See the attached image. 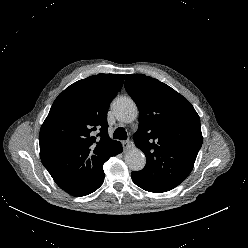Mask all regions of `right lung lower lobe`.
I'll return each instance as SVG.
<instances>
[{
  "mask_svg": "<svg viewBox=\"0 0 248 248\" xmlns=\"http://www.w3.org/2000/svg\"><path fill=\"white\" fill-rule=\"evenodd\" d=\"M122 152V146H121V143L117 146L116 150L113 152V156L119 154ZM104 177L105 175H102L101 178L99 179V181L86 193H84L83 195L81 196H85V195H88L92 192H94L95 190H97L103 183L104 181Z\"/></svg>",
  "mask_w": 248,
  "mask_h": 248,
  "instance_id": "1",
  "label": "right lung lower lobe"
}]
</instances>
